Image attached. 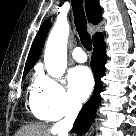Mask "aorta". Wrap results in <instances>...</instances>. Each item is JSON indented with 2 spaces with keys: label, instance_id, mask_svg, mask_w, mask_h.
<instances>
[{
  "label": "aorta",
  "instance_id": "1",
  "mask_svg": "<svg viewBox=\"0 0 136 136\" xmlns=\"http://www.w3.org/2000/svg\"><path fill=\"white\" fill-rule=\"evenodd\" d=\"M69 23L58 18L46 44L44 62L47 73L53 78H60L67 67V40Z\"/></svg>",
  "mask_w": 136,
  "mask_h": 136
}]
</instances>
